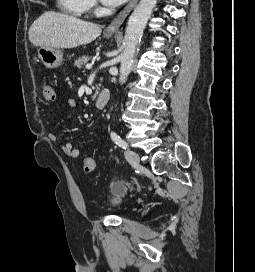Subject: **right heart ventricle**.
<instances>
[{"instance_id": "obj_1", "label": "right heart ventricle", "mask_w": 255, "mask_h": 272, "mask_svg": "<svg viewBox=\"0 0 255 272\" xmlns=\"http://www.w3.org/2000/svg\"><path fill=\"white\" fill-rule=\"evenodd\" d=\"M58 8L73 16H81L87 9L85 0H57Z\"/></svg>"}]
</instances>
